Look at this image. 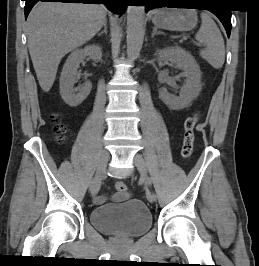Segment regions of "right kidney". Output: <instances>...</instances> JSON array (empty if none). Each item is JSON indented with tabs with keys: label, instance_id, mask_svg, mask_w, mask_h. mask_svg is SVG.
<instances>
[{
	"label": "right kidney",
	"instance_id": "right-kidney-1",
	"mask_svg": "<svg viewBox=\"0 0 259 266\" xmlns=\"http://www.w3.org/2000/svg\"><path fill=\"white\" fill-rule=\"evenodd\" d=\"M102 51L98 45H87L83 49H76L66 60L60 76V94L62 99L72 107L80 105L90 94L92 84L84 83L79 88H74L76 82L77 69L86 57L93 61H99Z\"/></svg>",
	"mask_w": 259,
	"mask_h": 266
}]
</instances>
